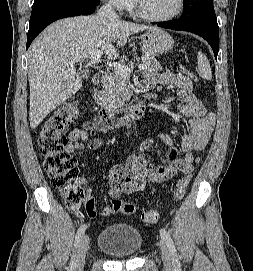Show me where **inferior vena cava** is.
<instances>
[{
	"label": "inferior vena cava",
	"mask_w": 253,
	"mask_h": 271,
	"mask_svg": "<svg viewBox=\"0 0 253 271\" xmlns=\"http://www.w3.org/2000/svg\"><path fill=\"white\" fill-rule=\"evenodd\" d=\"M98 15L100 17H104L107 18L109 20H117L119 19L118 15L116 14L114 8L112 7V4L106 3L105 5H103L100 10L98 11Z\"/></svg>",
	"instance_id": "inferior-vena-cava-1"
}]
</instances>
